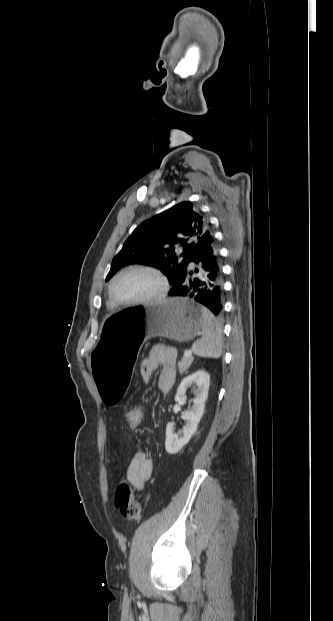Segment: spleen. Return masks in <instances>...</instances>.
<instances>
[{
  "label": "spleen",
  "mask_w": 333,
  "mask_h": 621,
  "mask_svg": "<svg viewBox=\"0 0 333 621\" xmlns=\"http://www.w3.org/2000/svg\"><path fill=\"white\" fill-rule=\"evenodd\" d=\"M202 338L192 345V352L202 358H220L223 336L220 322L205 307H202Z\"/></svg>",
  "instance_id": "1"
}]
</instances>
